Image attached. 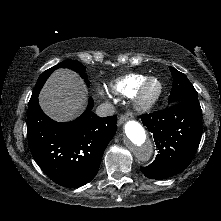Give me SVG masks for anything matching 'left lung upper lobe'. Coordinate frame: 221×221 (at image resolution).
<instances>
[{
    "instance_id": "5c2ea615",
    "label": "left lung upper lobe",
    "mask_w": 221,
    "mask_h": 221,
    "mask_svg": "<svg viewBox=\"0 0 221 221\" xmlns=\"http://www.w3.org/2000/svg\"><path fill=\"white\" fill-rule=\"evenodd\" d=\"M170 70L173 76V85L168 99L169 104L186 102L193 106H200L197 91L188 78L173 67H170Z\"/></svg>"
}]
</instances>
